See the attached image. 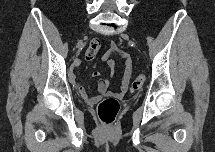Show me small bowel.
<instances>
[{
	"mask_svg": "<svg viewBox=\"0 0 215 152\" xmlns=\"http://www.w3.org/2000/svg\"><path fill=\"white\" fill-rule=\"evenodd\" d=\"M112 54H117L120 57H122L123 60H124V71H123V75H122L121 82H120V91L116 93L117 97H123L125 95L126 91H127L128 85H129V80H130L131 72H132V62H133V60H132V57L130 56L129 53H127L126 51L120 49L117 46V44L114 41H112L110 51L103 55V59L105 61H107L108 65L111 68H114V66H115V61L111 58ZM92 76L93 77H98L99 72L94 71L92 73ZM70 77H71V80H72L76 90L89 103H95L101 97H103L104 95L107 94V90H108V87H109V80L108 79H99L98 84H97L99 93L97 95H95V96H90L87 93V91L84 88V86H82L81 84L76 82L75 75H74L73 72L71 73Z\"/></svg>",
	"mask_w": 215,
	"mask_h": 152,
	"instance_id": "c3829d8e",
	"label": "small bowel"
}]
</instances>
